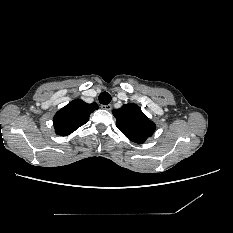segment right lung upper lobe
I'll list each match as a JSON object with an SVG mask.
<instances>
[{"label": "right lung upper lobe", "instance_id": "right-lung-upper-lobe-1", "mask_svg": "<svg viewBox=\"0 0 233 233\" xmlns=\"http://www.w3.org/2000/svg\"><path fill=\"white\" fill-rule=\"evenodd\" d=\"M98 109L97 103L88 104L77 99L60 109L54 116L55 132L67 136L88 122L89 116Z\"/></svg>", "mask_w": 233, "mask_h": 233}]
</instances>
